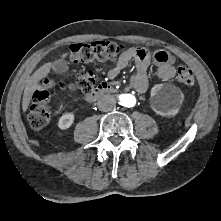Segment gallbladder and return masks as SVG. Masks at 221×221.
<instances>
[{
    "mask_svg": "<svg viewBox=\"0 0 221 221\" xmlns=\"http://www.w3.org/2000/svg\"><path fill=\"white\" fill-rule=\"evenodd\" d=\"M52 69L57 74L65 73L68 70L67 62L63 59H59L53 62Z\"/></svg>",
    "mask_w": 221,
    "mask_h": 221,
    "instance_id": "1",
    "label": "gallbladder"
}]
</instances>
